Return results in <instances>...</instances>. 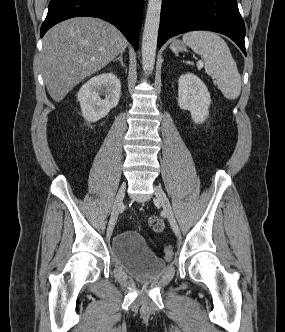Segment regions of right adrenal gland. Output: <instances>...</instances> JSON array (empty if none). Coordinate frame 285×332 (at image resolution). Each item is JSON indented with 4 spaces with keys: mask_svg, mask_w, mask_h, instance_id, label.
<instances>
[{
    "mask_svg": "<svg viewBox=\"0 0 285 332\" xmlns=\"http://www.w3.org/2000/svg\"><path fill=\"white\" fill-rule=\"evenodd\" d=\"M114 61H119L121 63V65L123 67H125L124 63H123V54H120V56L118 58H116Z\"/></svg>",
    "mask_w": 285,
    "mask_h": 332,
    "instance_id": "right-adrenal-gland-1",
    "label": "right adrenal gland"
}]
</instances>
